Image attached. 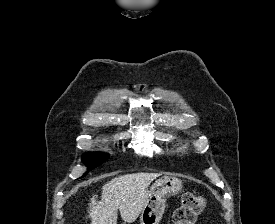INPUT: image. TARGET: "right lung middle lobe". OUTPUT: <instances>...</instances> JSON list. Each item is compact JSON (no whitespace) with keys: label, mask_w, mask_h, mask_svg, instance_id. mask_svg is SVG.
Instances as JSON below:
<instances>
[{"label":"right lung middle lobe","mask_w":275,"mask_h":224,"mask_svg":"<svg viewBox=\"0 0 275 224\" xmlns=\"http://www.w3.org/2000/svg\"><path fill=\"white\" fill-rule=\"evenodd\" d=\"M108 158L107 154L101 153H86L82 157V161L88 167V170H92L93 168L97 167L101 163H103ZM86 173L83 175L85 176Z\"/></svg>","instance_id":"1"}]
</instances>
